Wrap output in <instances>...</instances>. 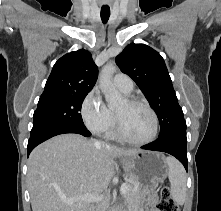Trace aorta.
<instances>
[{"instance_id":"1","label":"aorta","mask_w":221,"mask_h":211,"mask_svg":"<svg viewBox=\"0 0 221 211\" xmlns=\"http://www.w3.org/2000/svg\"><path fill=\"white\" fill-rule=\"evenodd\" d=\"M115 64H106L100 73L99 86L105 96V100L109 108H115L124 102L122 94L115 88L112 82L113 74L115 72ZM111 211H115L112 209Z\"/></svg>"}]
</instances>
